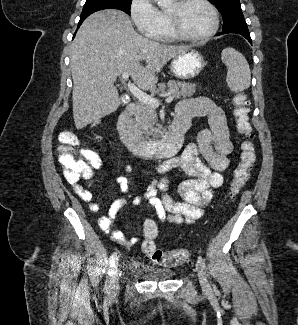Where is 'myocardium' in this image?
<instances>
[{
    "mask_svg": "<svg viewBox=\"0 0 298 325\" xmlns=\"http://www.w3.org/2000/svg\"><path fill=\"white\" fill-rule=\"evenodd\" d=\"M192 1L203 5L209 12L212 19V26L210 30L206 34L198 37H190L184 34L179 28L176 17V10ZM162 8L166 16V33L169 34L173 39L185 42L201 43L208 41L218 31L219 22L216 12L205 0H169L162 4Z\"/></svg>",
    "mask_w": 298,
    "mask_h": 325,
    "instance_id": "f54148a6",
    "label": "myocardium"
}]
</instances>
